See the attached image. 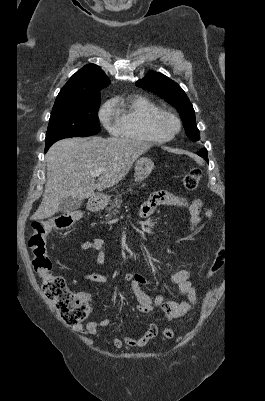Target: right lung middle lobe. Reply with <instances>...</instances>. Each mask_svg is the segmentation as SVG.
<instances>
[{
    "instance_id": "right-lung-middle-lobe-1",
    "label": "right lung middle lobe",
    "mask_w": 265,
    "mask_h": 401,
    "mask_svg": "<svg viewBox=\"0 0 265 401\" xmlns=\"http://www.w3.org/2000/svg\"><path fill=\"white\" fill-rule=\"evenodd\" d=\"M100 96L78 99L54 106L46 133V145L69 137H87L100 131Z\"/></svg>"
}]
</instances>
